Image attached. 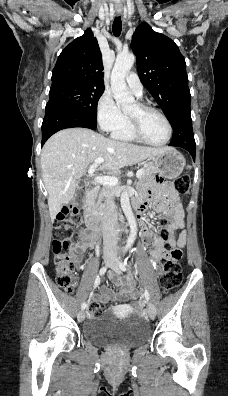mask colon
<instances>
[{"instance_id":"obj_1","label":"colon","mask_w":228,"mask_h":396,"mask_svg":"<svg viewBox=\"0 0 228 396\" xmlns=\"http://www.w3.org/2000/svg\"><path fill=\"white\" fill-rule=\"evenodd\" d=\"M174 185L178 193L188 195L190 192L189 175L184 174L178 177L174 181ZM80 205V200L69 203L57 215L55 225L56 238L52 242L56 281L66 292H71L74 286L75 263L69 250L71 240L77 236L74 225ZM161 225L160 236L165 241L164 249L167 255L163 262L164 271L160 277V285L162 290L168 293L178 288L181 284L182 270L180 259L182 251L173 243L176 238V232L169 228V220L162 217ZM101 312L102 304L100 302L93 301L89 304L88 314L91 317L99 316Z\"/></svg>"}]
</instances>
